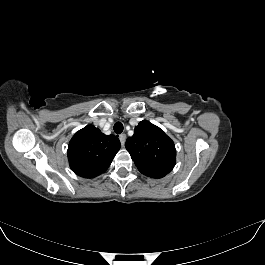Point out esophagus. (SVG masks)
<instances>
[{
    "mask_svg": "<svg viewBox=\"0 0 265 265\" xmlns=\"http://www.w3.org/2000/svg\"><path fill=\"white\" fill-rule=\"evenodd\" d=\"M126 138H127L126 134H120L119 135V140H120L122 146H124Z\"/></svg>",
    "mask_w": 265,
    "mask_h": 265,
    "instance_id": "1",
    "label": "esophagus"
}]
</instances>
